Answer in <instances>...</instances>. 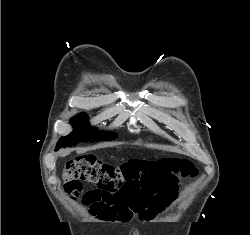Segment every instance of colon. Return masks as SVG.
Returning <instances> with one entry per match:
<instances>
[{
  "label": "colon",
  "mask_w": 250,
  "mask_h": 235,
  "mask_svg": "<svg viewBox=\"0 0 250 235\" xmlns=\"http://www.w3.org/2000/svg\"><path fill=\"white\" fill-rule=\"evenodd\" d=\"M197 170L188 160H130L120 166L99 160L93 154L77 156L66 162L62 172L64 190L77 198L81 182L97 185L83 196L92 214L101 218L127 220L134 196L140 191H154L175 185L179 178L194 177Z\"/></svg>",
  "instance_id": "1"
}]
</instances>
